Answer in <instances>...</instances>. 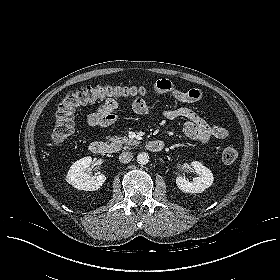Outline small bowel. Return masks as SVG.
I'll use <instances>...</instances> for the list:
<instances>
[{
    "mask_svg": "<svg viewBox=\"0 0 280 280\" xmlns=\"http://www.w3.org/2000/svg\"><path fill=\"white\" fill-rule=\"evenodd\" d=\"M156 94H169L176 100L183 103H195L202 98L200 89L183 90L169 80H158L153 85ZM132 109L138 114H147L151 111L150 105L142 98H135L132 101ZM166 120L183 119L184 134L191 140L205 144L212 139H225L229 135L226 127L212 123L200 117L195 111L187 107L169 109L163 113ZM119 119L118 103L109 98L88 117L91 125L107 127L114 124Z\"/></svg>",
    "mask_w": 280,
    "mask_h": 280,
    "instance_id": "small-bowel-1",
    "label": "small bowel"
}]
</instances>
